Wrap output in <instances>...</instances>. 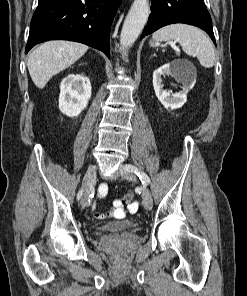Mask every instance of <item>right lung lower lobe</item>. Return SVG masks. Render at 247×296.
<instances>
[{"label": "right lung lower lobe", "mask_w": 247, "mask_h": 296, "mask_svg": "<svg viewBox=\"0 0 247 296\" xmlns=\"http://www.w3.org/2000/svg\"><path fill=\"white\" fill-rule=\"evenodd\" d=\"M121 0H39L25 53L48 40H71L110 58V28Z\"/></svg>", "instance_id": "98d812e1"}]
</instances>
